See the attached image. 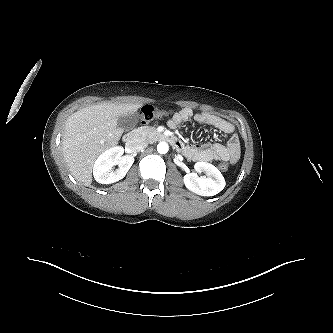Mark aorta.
<instances>
[{
    "mask_svg": "<svg viewBox=\"0 0 333 333\" xmlns=\"http://www.w3.org/2000/svg\"><path fill=\"white\" fill-rule=\"evenodd\" d=\"M168 150H169V145L166 142H160L157 145V151L160 154H166L168 152Z\"/></svg>",
    "mask_w": 333,
    "mask_h": 333,
    "instance_id": "1",
    "label": "aorta"
}]
</instances>
